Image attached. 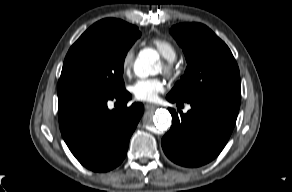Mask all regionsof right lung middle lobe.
I'll return each instance as SVG.
<instances>
[{"mask_svg":"<svg viewBox=\"0 0 292 192\" xmlns=\"http://www.w3.org/2000/svg\"><path fill=\"white\" fill-rule=\"evenodd\" d=\"M140 35L137 27L126 30L108 19L93 24L69 49L57 90L81 87L104 95L120 94L125 90V56Z\"/></svg>","mask_w":292,"mask_h":192,"instance_id":"1","label":"right lung middle lobe"}]
</instances>
